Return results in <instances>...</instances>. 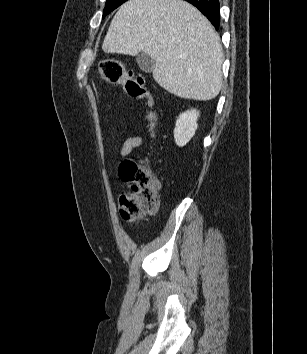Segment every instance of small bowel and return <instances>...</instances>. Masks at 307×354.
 Masks as SVG:
<instances>
[{"label":"small bowel","mask_w":307,"mask_h":354,"mask_svg":"<svg viewBox=\"0 0 307 354\" xmlns=\"http://www.w3.org/2000/svg\"><path fill=\"white\" fill-rule=\"evenodd\" d=\"M143 143H144V138L142 136H135V137L127 138L123 142V144L120 148L119 155L121 157H126L132 152L133 149L142 146Z\"/></svg>","instance_id":"obj_1"}]
</instances>
